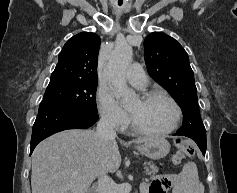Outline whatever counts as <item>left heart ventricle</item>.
<instances>
[{
  "mask_svg": "<svg viewBox=\"0 0 237 193\" xmlns=\"http://www.w3.org/2000/svg\"><path fill=\"white\" fill-rule=\"evenodd\" d=\"M128 111L139 127L150 131L167 129L175 119L174 107L164 98L148 102L138 99L129 106Z\"/></svg>",
  "mask_w": 237,
  "mask_h": 193,
  "instance_id": "left-heart-ventricle-1",
  "label": "left heart ventricle"
}]
</instances>
